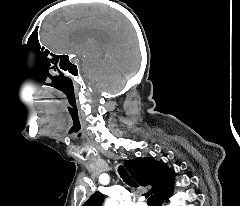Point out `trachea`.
Instances as JSON below:
<instances>
[{
	"mask_svg": "<svg viewBox=\"0 0 240 206\" xmlns=\"http://www.w3.org/2000/svg\"><path fill=\"white\" fill-rule=\"evenodd\" d=\"M118 171H119V174L121 176V178L123 179V181L128 184L129 186L131 187H138V185L135 183V181L131 178V176L129 175V173L127 172V170L123 167V166H120L118 168ZM148 205L149 206H155V202H154V197L153 196H150L148 198V201H147Z\"/></svg>",
	"mask_w": 240,
	"mask_h": 206,
	"instance_id": "1",
	"label": "trachea"
}]
</instances>
